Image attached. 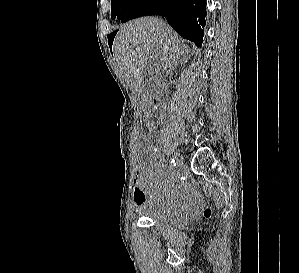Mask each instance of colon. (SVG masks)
Masks as SVG:
<instances>
[{
	"label": "colon",
	"mask_w": 299,
	"mask_h": 273,
	"mask_svg": "<svg viewBox=\"0 0 299 273\" xmlns=\"http://www.w3.org/2000/svg\"><path fill=\"white\" fill-rule=\"evenodd\" d=\"M140 141H141L144 148H148L149 146H151V139L146 137L145 135H142L140 137ZM211 214H212V210L210 208H206L204 210V216L205 217H210Z\"/></svg>",
	"instance_id": "1"
}]
</instances>
